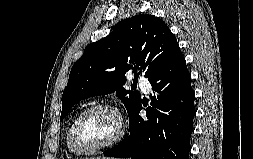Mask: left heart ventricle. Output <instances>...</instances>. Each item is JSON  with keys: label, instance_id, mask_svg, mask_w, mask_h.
<instances>
[{"label": "left heart ventricle", "instance_id": "left-heart-ventricle-1", "mask_svg": "<svg viewBox=\"0 0 253 159\" xmlns=\"http://www.w3.org/2000/svg\"><path fill=\"white\" fill-rule=\"evenodd\" d=\"M117 129V120L112 112L105 109L94 110L81 120L76 140L83 149L93 148L112 139Z\"/></svg>", "mask_w": 253, "mask_h": 159}]
</instances>
